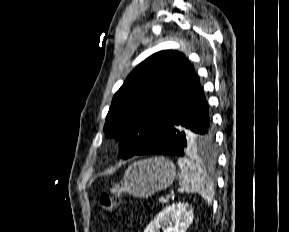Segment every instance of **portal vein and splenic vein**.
Returning <instances> with one entry per match:
<instances>
[{"instance_id": "obj_1", "label": "portal vein and splenic vein", "mask_w": 289, "mask_h": 232, "mask_svg": "<svg viewBox=\"0 0 289 232\" xmlns=\"http://www.w3.org/2000/svg\"><path fill=\"white\" fill-rule=\"evenodd\" d=\"M178 192H183V189H182V188H179V189H178ZM164 200H165L164 197H159V199H158L159 203L164 202Z\"/></svg>"}]
</instances>
